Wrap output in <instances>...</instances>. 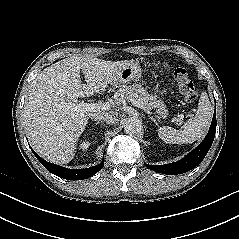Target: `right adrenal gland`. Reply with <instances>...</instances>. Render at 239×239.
Masks as SVG:
<instances>
[{"mask_svg":"<svg viewBox=\"0 0 239 239\" xmlns=\"http://www.w3.org/2000/svg\"><path fill=\"white\" fill-rule=\"evenodd\" d=\"M99 123H100V122H99V121H97V122H96V125H97V124H99ZM101 123H102V122H101Z\"/></svg>","mask_w":239,"mask_h":239,"instance_id":"obj_1","label":"right adrenal gland"}]
</instances>
